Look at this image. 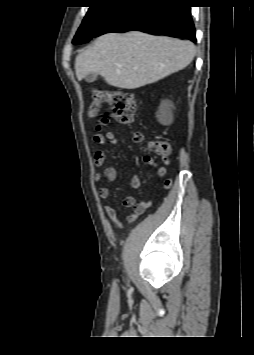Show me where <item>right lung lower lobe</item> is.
<instances>
[{"instance_id":"obj_1","label":"right lung lower lobe","mask_w":254,"mask_h":355,"mask_svg":"<svg viewBox=\"0 0 254 355\" xmlns=\"http://www.w3.org/2000/svg\"><path fill=\"white\" fill-rule=\"evenodd\" d=\"M187 0H133L120 4L93 37L110 32L141 31L196 41ZM89 40H73L81 44Z\"/></svg>"}]
</instances>
